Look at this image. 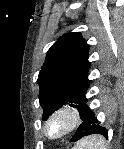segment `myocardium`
Segmentation results:
<instances>
[{
	"label": "myocardium",
	"instance_id": "1",
	"mask_svg": "<svg viewBox=\"0 0 124 149\" xmlns=\"http://www.w3.org/2000/svg\"><path fill=\"white\" fill-rule=\"evenodd\" d=\"M82 116L79 109L71 104H64L50 113L44 122L43 132L45 137L58 142L70 136L81 124ZM54 124L61 126V131L57 135L51 134V127Z\"/></svg>",
	"mask_w": 124,
	"mask_h": 149
}]
</instances>
